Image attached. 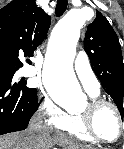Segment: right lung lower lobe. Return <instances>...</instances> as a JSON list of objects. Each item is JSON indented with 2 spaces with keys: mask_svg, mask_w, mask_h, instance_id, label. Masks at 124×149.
Listing matches in <instances>:
<instances>
[{
  "mask_svg": "<svg viewBox=\"0 0 124 149\" xmlns=\"http://www.w3.org/2000/svg\"><path fill=\"white\" fill-rule=\"evenodd\" d=\"M37 110L36 89L0 77V135L26 129Z\"/></svg>",
  "mask_w": 124,
  "mask_h": 149,
  "instance_id": "obj_1",
  "label": "right lung lower lobe"
}]
</instances>
